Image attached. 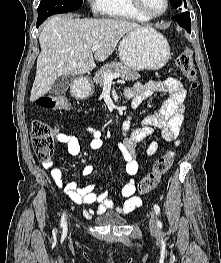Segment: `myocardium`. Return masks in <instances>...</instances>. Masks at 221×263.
<instances>
[{"label": "myocardium", "instance_id": "1", "mask_svg": "<svg viewBox=\"0 0 221 263\" xmlns=\"http://www.w3.org/2000/svg\"><path fill=\"white\" fill-rule=\"evenodd\" d=\"M131 1H132L133 6L135 7V9L139 13H141L143 15V17L146 18V19H155V18H158V17L164 15L167 12V10L169 9V6H170V1L169 0H165V7H164V9L161 12L149 13L143 7L142 0H131Z\"/></svg>", "mask_w": 221, "mask_h": 263}]
</instances>
